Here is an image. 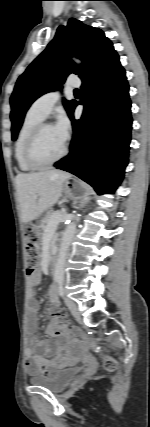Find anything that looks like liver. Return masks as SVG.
Returning <instances> with one entry per match:
<instances>
[{
    "mask_svg": "<svg viewBox=\"0 0 150 427\" xmlns=\"http://www.w3.org/2000/svg\"><path fill=\"white\" fill-rule=\"evenodd\" d=\"M70 176L57 170L18 174L16 188L22 221L30 222L51 208L60 198L63 184Z\"/></svg>",
    "mask_w": 150,
    "mask_h": 427,
    "instance_id": "1",
    "label": "liver"
}]
</instances>
